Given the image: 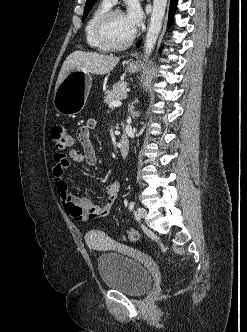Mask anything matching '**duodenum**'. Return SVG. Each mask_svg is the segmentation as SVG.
Listing matches in <instances>:
<instances>
[{
  "label": "duodenum",
  "mask_w": 247,
  "mask_h": 332,
  "mask_svg": "<svg viewBox=\"0 0 247 332\" xmlns=\"http://www.w3.org/2000/svg\"><path fill=\"white\" fill-rule=\"evenodd\" d=\"M129 152V140L124 135L122 136L120 143H119V153L122 157H126Z\"/></svg>",
  "instance_id": "obj_1"
}]
</instances>
